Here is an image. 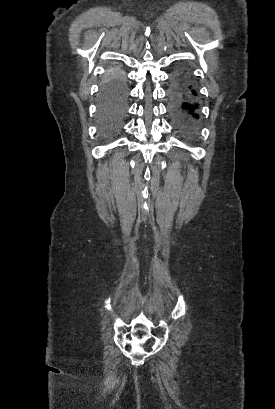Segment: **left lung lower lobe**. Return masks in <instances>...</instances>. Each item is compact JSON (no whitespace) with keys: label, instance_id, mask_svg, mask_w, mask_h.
Here are the masks:
<instances>
[{"label":"left lung lower lobe","instance_id":"0a47b994","mask_svg":"<svg viewBox=\"0 0 275 409\" xmlns=\"http://www.w3.org/2000/svg\"><path fill=\"white\" fill-rule=\"evenodd\" d=\"M197 92L191 77L183 70H175L168 90L169 114L176 130L193 134L199 118Z\"/></svg>","mask_w":275,"mask_h":409}]
</instances>
